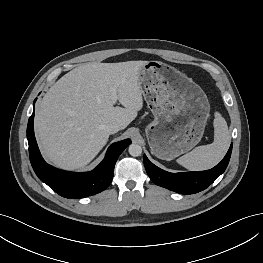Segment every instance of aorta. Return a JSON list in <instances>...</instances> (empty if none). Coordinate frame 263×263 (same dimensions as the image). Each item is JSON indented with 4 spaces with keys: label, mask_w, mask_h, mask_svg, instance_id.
Returning <instances> with one entry per match:
<instances>
[{
    "label": "aorta",
    "mask_w": 263,
    "mask_h": 263,
    "mask_svg": "<svg viewBox=\"0 0 263 263\" xmlns=\"http://www.w3.org/2000/svg\"><path fill=\"white\" fill-rule=\"evenodd\" d=\"M129 154L133 157L140 156L142 153V147L139 144L132 143L128 148Z\"/></svg>",
    "instance_id": "aorta-1"
}]
</instances>
